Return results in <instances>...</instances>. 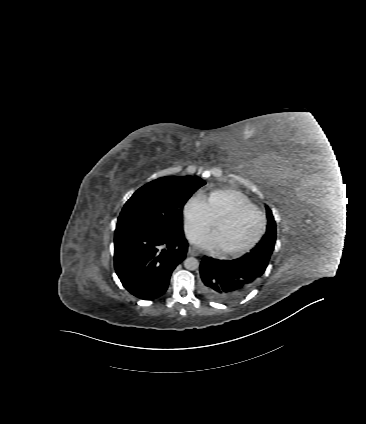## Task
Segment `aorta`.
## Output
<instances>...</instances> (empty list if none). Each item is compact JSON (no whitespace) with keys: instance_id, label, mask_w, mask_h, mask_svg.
<instances>
[{"instance_id":"1","label":"aorta","mask_w":366,"mask_h":424,"mask_svg":"<svg viewBox=\"0 0 366 424\" xmlns=\"http://www.w3.org/2000/svg\"><path fill=\"white\" fill-rule=\"evenodd\" d=\"M184 267L188 270H196L199 267V261L194 257H188L184 261Z\"/></svg>"}]
</instances>
